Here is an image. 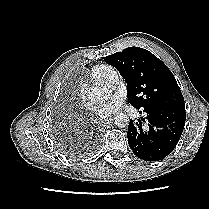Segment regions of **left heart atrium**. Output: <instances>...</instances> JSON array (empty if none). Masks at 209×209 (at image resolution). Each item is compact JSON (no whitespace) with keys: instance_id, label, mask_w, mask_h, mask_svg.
<instances>
[{"instance_id":"left-heart-atrium-1","label":"left heart atrium","mask_w":209,"mask_h":209,"mask_svg":"<svg viewBox=\"0 0 209 209\" xmlns=\"http://www.w3.org/2000/svg\"><path fill=\"white\" fill-rule=\"evenodd\" d=\"M124 102V96L120 93L114 94L108 101L101 104L96 115L99 119L105 120L118 112Z\"/></svg>"}]
</instances>
